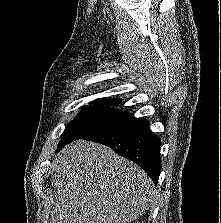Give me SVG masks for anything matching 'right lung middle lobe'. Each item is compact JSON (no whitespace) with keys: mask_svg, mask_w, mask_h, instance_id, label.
I'll return each instance as SVG.
<instances>
[{"mask_svg":"<svg viewBox=\"0 0 221 223\" xmlns=\"http://www.w3.org/2000/svg\"><path fill=\"white\" fill-rule=\"evenodd\" d=\"M92 103H102L103 105L88 107V109L78 114L64 130L56 151L74 140L121 120L129 114L128 112L106 106L107 104L116 105L113 102L106 103L97 100Z\"/></svg>","mask_w":221,"mask_h":223,"instance_id":"1","label":"right lung middle lobe"}]
</instances>
